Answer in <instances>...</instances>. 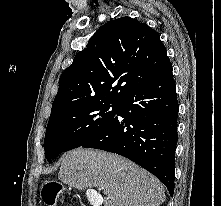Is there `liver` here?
<instances>
[{"mask_svg": "<svg viewBox=\"0 0 221 206\" xmlns=\"http://www.w3.org/2000/svg\"><path fill=\"white\" fill-rule=\"evenodd\" d=\"M59 179L77 189L103 190L104 206H160L165 200L162 183L132 161L114 153L78 148L65 153ZM96 194V192H94Z\"/></svg>", "mask_w": 221, "mask_h": 206, "instance_id": "liver-1", "label": "liver"}]
</instances>
